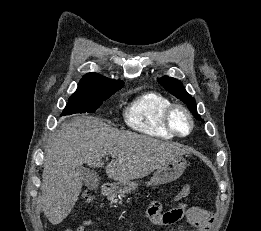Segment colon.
I'll return each instance as SVG.
<instances>
[{"instance_id": "5ec220e1", "label": "colon", "mask_w": 261, "mask_h": 231, "mask_svg": "<svg viewBox=\"0 0 261 231\" xmlns=\"http://www.w3.org/2000/svg\"><path fill=\"white\" fill-rule=\"evenodd\" d=\"M189 188L184 187L181 192L186 193ZM86 201H90V197H85ZM189 221L196 231H207L213 218V213L199 207H193L189 211Z\"/></svg>"}]
</instances>
